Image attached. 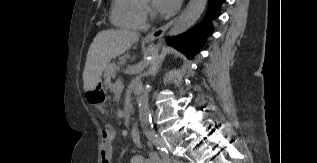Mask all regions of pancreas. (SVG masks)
I'll use <instances>...</instances> for the list:
<instances>
[{"instance_id":"cf45deb5","label":"pancreas","mask_w":317,"mask_h":163,"mask_svg":"<svg viewBox=\"0 0 317 163\" xmlns=\"http://www.w3.org/2000/svg\"><path fill=\"white\" fill-rule=\"evenodd\" d=\"M116 64L115 63H110L106 66L104 70V80H105V85L107 88L110 89V91H114V87L111 84V78L115 77V71H116Z\"/></svg>"}]
</instances>
